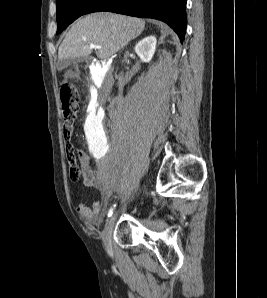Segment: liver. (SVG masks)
<instances>
[{
	"label": "liver",
	"instance_id": "1",
	"mask_svg": "<svg viewBox=\"0 0 267 298\" xmlns=\"http://www.w3.org/2000/svg\"><path fill=\"white\" fill-rule=\"evenodd\" d=\"M145 21L109 12L86 15L69 30L58 50V59H77L92 53L91 45H99V59H106L139 36Z\"/></svg>",
	"mask_w": 267,
	"mask_h": 298
}]
</instances>
